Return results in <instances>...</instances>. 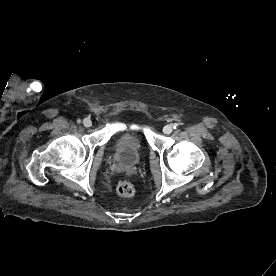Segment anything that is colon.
Listing matches in <instances>:
<instances>
[{
    "label": "colon",
    "instance_id": "1",
    "mask_svg": "<svg viewBox=\"0 0 276 276\" xmlns=\"http://www.w3.org/2000/svg\"><path fill=\"white\" fill-rule=\"evenodd\" d=\"M117 193L121 197L130 198L133 197L135 194V187L134 185L126 180L120 181L117 185Z\"/></svg>",
    "mask_w": 276,
    "mask_h": 276
}]
</instances>
